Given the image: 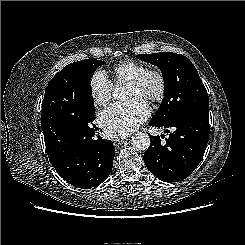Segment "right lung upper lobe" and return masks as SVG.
I'll list each match as a JSON object with an SVG mask.
<instances>
[{
    "mask_svg": "<svg viewBox=\"0 0 245 245\" xmlns=\"http://www.w3.org/2000/svg\"><path fill=\"white\" fill-rule=\"evenodd\" d=\"M73 86L68 66L49 81L42 104L41 121L44 133H50L59 128L57 117L63 111L67 100L72 95Z\"/></svg>",
    "mask_w": 245,
    "mask_h": 245,
    "instance_id": "right-lung-upper-lobe-1",
    "label": "right lung upper lobe"
}]
</instances>
